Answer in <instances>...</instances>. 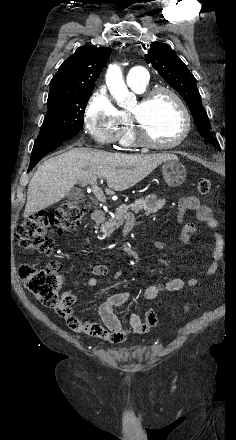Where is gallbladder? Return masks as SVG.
I'll return each instance as SVG.
<instances>
[{
	"mask_svg": "<svg viewBox=\"0 0 236 440\" xmlns=\"http://www.w3.org/2000/svg\"><path fill=\"white\" fill-rule=\"evenodd\" d=\"M68 196L72 200H79L83 195L79 189H73L68 193Z\"/></svg>",
	"mask_w": 236,
	"mask_h": 440,
	"instance_id": "obj_1",
	"label": "gallbladder"
}]
</instances>
